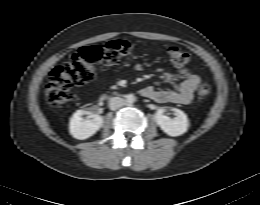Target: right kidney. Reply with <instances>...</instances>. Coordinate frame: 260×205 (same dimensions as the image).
Segmentation results:
<instances>
[{
    "label": "right kidney",
    "mask_w": 260,
    "mask_h": 205,
    "mask_svg": "<svg viewBox=\"0 0 260 205\" xmlns=\"http://www.w3.org/2000/svg\"><path fill=\"white\" fill-rule=\"evenodd\" d=\"M85 110H77L70 119V134L79 140H84L94 135L102 126L103 118L98 114H90L87 119L82 116Z\"/></svg>",
    "instance_id": "1"
}]
</instances>
